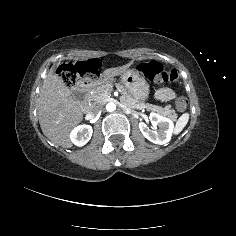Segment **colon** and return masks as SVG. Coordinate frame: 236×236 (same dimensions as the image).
Returning <instances> with one entry per match:
<instances>
[{"instance_id":"obj_1","label":"colon","mask_w":236,"mask_h":236,"mask_svg":"<svg viewBox=\"0 0 236 236\" xmlns=\"http://www.w3.org/2000/svg\"><path fill=\"white\" fill-rule=\"evenodd\" d=\"M96 69L97 66L94 62L88 64L69 63L63 64L58 68V75L65 85L73 86L82 75ZM137 69L145 78L158 84L179 81V75L176 70H165L156 61L141 62L138 64ZM187 105L188 101L184 96H180L176 101V108L179 112L185 111Z\"/></svg>"}]
</instances>
